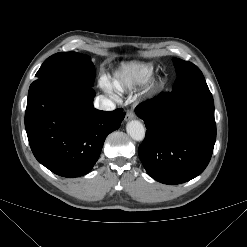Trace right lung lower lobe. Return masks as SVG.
Wrapping results in <instances>:
<instances>
[{
  "label": "right lung lower lobe",
  "instance_id": "1",
  "mask_svg": "<svg viewBox=\"0 0 247 247\" xmlns=\"http://www.w3.org/2000/svg\"><path fill=\"white\" fill-rule=\"evenodd\" d=\"M91 86L38 79L28 92L25 128L35 158L53 173L73 178L89 173L108 134L120 127L121 109L93 107Z\"/></svg>",
  "mask_w": 247,
  "mask_h": 247
}]
</instances>
